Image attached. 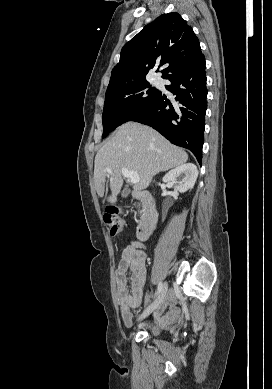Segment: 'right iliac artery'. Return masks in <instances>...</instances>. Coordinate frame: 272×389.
<instances>
[{
  "label": "right iliac artery",
  "mask_w": 272,
  "mask_h": 389,
  "mask_svg": "<svg viewBox=\"0 0 272 389\" xmlns=\"http://www.w3.org/2000/svg\"><path fill=\"white\" fill-rule=\"evenodd\" d=\"M162 287H163L162 282H159L158 287H157V291H156V293H155V296H157V295L161 292Z\"/></svg>",
  "instance_id": "obj_1"
}]
</instances>
